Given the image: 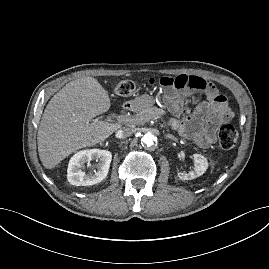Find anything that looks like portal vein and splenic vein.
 Wrapping results in <instances>:
<instances>
[{
	"label": "portal vein and splenic vein",
	"mask_w": 269,
	"mask_h": 269,
	"mask_svg": "<svg viewBox=\"0 0 269 269\" xmlns=\"http://www.w3.org/2000/svg\"><path fill=\"white\" fill-rule=\"evenodd\" d=\"M117 120L118 121H123V122H126V123H131L134 121V119L132 117H124V116H118L117 117Z\"/></svg>",
	"instance_id": "1"
}]
</instances>
